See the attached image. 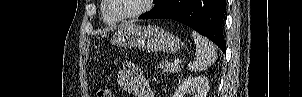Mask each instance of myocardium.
<instances>
[{
	"label": "myocardium",
	"instance_id": "f54148a6",
	"mask_svg": "<svg viewBox=\"0 0 302 97\" xmlns=\"http://www.w3.org/2000/svg\"><path fill=\"white\" fill-rule=\"evenodd\" d=\"M152 2H153V0H143L142 7L139 8L137 11L127 14V15H118L116 12H114V10L112 8L111 0H104L108 14L117 21H127V20H131V19L137 18V17L145 14L146 12H148L150 10Z\"/></svg>",
	"mask_w": 302,
	"mask_h": 97
}]
</instances>
